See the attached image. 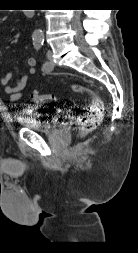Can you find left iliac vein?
I'll return each mask as SVG.
<instances>
[{
    "label": "left iliac vein",
    "instance_id": "1",
    "mask_svg": "<svg viewBox=\"0 0 138 253\" xmlns=\"http://www.w3.org/2000/svg\"><path fill=\"white\" fill-rule=\"evenodd\" d=\"M47 58H48V61H49V64H50V67H49V71L50 70H53V68H54V62H53V58H52V52L49 50L48 52H47Z\"/></svg>",
    "mask_w": 138,
    "mask_h": 253
}]
</instances>
